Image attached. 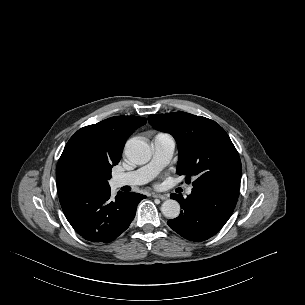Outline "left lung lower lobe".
<instances>
[{
  "label": "left lung lower lobe",
  "mask_w": 305,
  "mask_h": 305,
  "mask_svg": "<svg viewBox=\"0 0 305 305\" xmlns=\"http://www.w3.org/2000/svg\"><path fill=\"white\" fill-rule=\"evenodd\" d=\"M239 181L211 182L194 187L187 198L171 194L180 203V215L168 225L191 241H204L215 235L230 218L238 199Z\"/></svg>",
  "instance_id": "left-lung-lower-lobe-1"
}]
</instances>
